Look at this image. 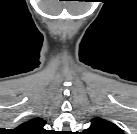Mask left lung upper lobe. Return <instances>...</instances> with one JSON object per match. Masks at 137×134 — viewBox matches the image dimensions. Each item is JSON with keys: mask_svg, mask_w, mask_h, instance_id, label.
Here are the masks:
<instances>
[{"mask_svg": "<svg viewBox=\"0 0 137 134\" xmlns=\"http://www.w3.org/2000/svg\"><path fill=\"white\" fill-rule=\"evenodd\" d=\"M85 134H123L122 130L114 123L102 118H94L91 125L84 131Z\"/></svg>", "mask_w": 137, "mask_h": 134, "instance_id": "left-lung-upper-lobe-1", "label": "left lung upper lobe"}]
</instances>
